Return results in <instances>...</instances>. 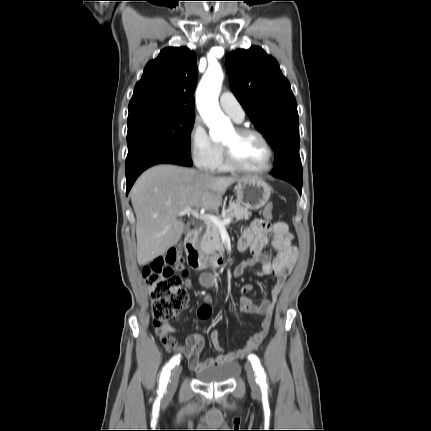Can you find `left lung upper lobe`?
<instances>
[{"instance_id": "obj_1", "label": "left lung upper lobe", "mask_w": 431, "mask_h": 431, "mask_svg": "<svg viewBox=\"0 0 431 431\" xmlns=\"http://www.w3.org/2000/svg\"><path fill=\"white\" fill-rule=\"evenodd\" d=\"M225 66L232 92L275 152L272 173L302 174L297 104L277 61L252 46L229 53Z\"/></svg>"}]
</instances>
